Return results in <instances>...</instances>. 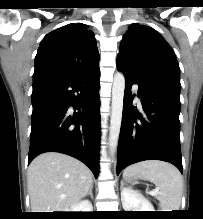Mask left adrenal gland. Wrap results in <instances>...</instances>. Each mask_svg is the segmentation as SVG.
Returning a JSON list of instances; mask_svg holds the SVG:
<instances>
[{"label":"left adrenal gland","mask_w":203,"mask_h":219,"mask_svg":"<svg viewBox=\"0 0 203 219\" xmlns=\"http://www.w3.org/2000/svg\"><path fill=\"white\" fill-rule=\"evenodd\" d=\"M123 186H124V181L122 180L120 188H123Z\"/></svg>","instance_id":"a2214340"}]
</instances>
